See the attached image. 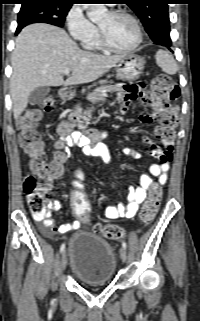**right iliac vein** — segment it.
Instances as JSON below:
<instances>
[{"instance_id": "right-iliac-vein-1", "label": "right iliac vein", "mask_w": 200, "mask_h": 321, "mask_svg": "<svg viewBox=\"0 0 200 321\" xmlns=\"http://www.w3.org/2000/svg\"><path fill=\"white\" fill-rule=\"evenodd\" d=\"M67 263V257H66V252L64 251L61 256V270L63 271L66 267Z\"/></svg>"}]
</instances>
